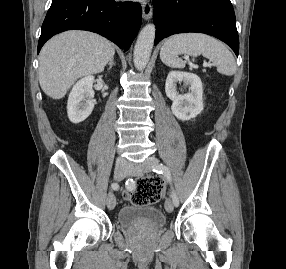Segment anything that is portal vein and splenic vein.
Segmentation results:
<instances>
[{"label": "portal vein and splenic vein", "instance_id": "portal-vein-and-splenic-vein-1", "mask_svg": "<svg viewBox=\"0 0 286 269\" xmlns=\"http://www.w3.org/2000/svg\"><path fill=\"white\" fill-rule=\"evenodd\" d=\"M186 59H188V57H186ZM208 66H211V64L207 63V62H204L203 63V67H208Z\"/></svg>", "mask_w": 286, "mask_h": 269}]
</instances>
